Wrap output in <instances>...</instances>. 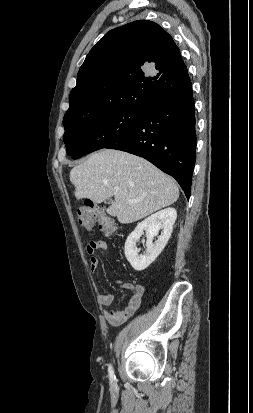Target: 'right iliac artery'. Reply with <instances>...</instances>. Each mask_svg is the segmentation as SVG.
Instances as JSON below:
<instances>
[{"mask_svg":"<svg viewBox=\"0 0 253 413\" xmlns=\"http://www.w3.org/2000/svg\"><path fill=\"white\" fill-rule=\"evenodd\" d=\"M108 373H109L110 380L111 381L115 380L114 370H113L111 364H109Z\"/></svg>","mask_w":253,"mask_h":413,"instance_id":"right-iliac-artery-1","label":"right iliac artery"}]
</instances>
